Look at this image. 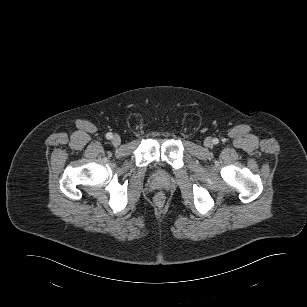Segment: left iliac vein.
<instances>
[{
	"mask_svg": "<svg viewBox=\"0 0 307 307\" xmlns=\"http://www.w3.org/2000/svg\"><path fill=\"white\" fill-rule=\"evenodd\" d=\"M204 145H205L206 147H210V146L212 145L211 139L207 138V139L204 141Z\"/></svg>",
	"mask_w": 307,
	"mask_h": 307,
	"instance_id": "4c4485c4",
	"label": "left iliac vein"
}]
</instances>
